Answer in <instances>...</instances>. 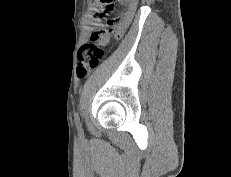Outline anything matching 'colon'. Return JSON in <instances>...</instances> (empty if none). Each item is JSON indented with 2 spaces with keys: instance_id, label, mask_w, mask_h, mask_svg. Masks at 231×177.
<instances>
[{
  "instance_id": "obj_1",
  "label": "colon",
  "mask_w": 231,
  "mask_h": 177,
  "mask_svg": "<svg viewBox=\"0 0 231 177\" xmlns=\"http://www.w3.org/2000/svg\"><path fill=\"white\" fill-rule=\"evenodd\" d=\"M100 8L94 13L93 26L95 30L90 36V41L82 45L77 53V75L79 78L86 77L97 68L99 61L104 55L102 45L111 32L110 27L115 23L113 19H107V15L114 9L115 0H98ZM128 3L129 10L123 18L133 11L136 0H119ZM103 20H106L103 22Z\"/></svg>"
}]
</instances>
